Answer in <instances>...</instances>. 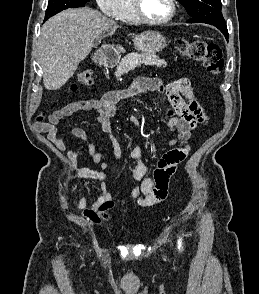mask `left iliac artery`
Instances as JSON below:
<instances>
[{"label": "left iliac artery", "mask_w": 259, "mask_h": 294, "mask_svg": "<svg viewBox=\"0 0 259 294\" xmlns=\"http://www.w3.org/2000/svg\"><path fill=\"white\" fill-rule=\"evenodd\" d=\"M182 247V240L181 238L178 239V248L181 249Z\"/></svg>", "instance_id": "44dca946"}]
</instances>
